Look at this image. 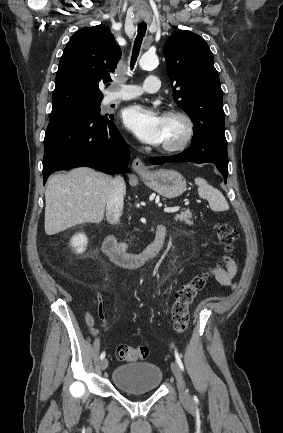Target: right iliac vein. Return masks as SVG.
<instances>
[{
    "label": "right iliac vein",
    "mask_w": 283,
    "mask_h": 433,
    "mask_svg": "<svg viewBox=\"0 0 283 433\" xmlns=\"http://www.w3.org/2000/svg\"><path fill=\"white\" fill-rule=\"evenodd\" d=\"M100 366H101V369H102V370H106L107 367H108V360H107L106 358H103V359L101 360Z\"/></svg>",
    "instance_id": "obj_1"
}]
</instances>
